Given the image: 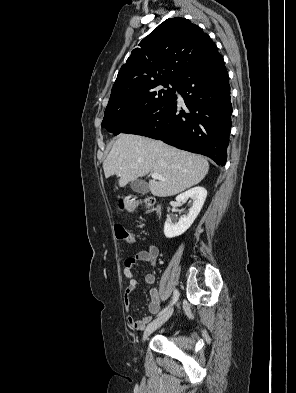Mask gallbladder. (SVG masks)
Wrapping results in <instances>:
<instances>
[{
	"label": "gallbladder",
	"instance_id": "1",
	"mask_svg": "<svg viewBox=\"0 0 296 393\" xmlns=\"http://www.w3.org/2000/svg\"><path fill=\"white\" fill-rule=\"evenodd\" d=\"M130 186L131 189L137 193L146 194L149 192L148 184L139 179L132 181Z\"/></svg>",
	"mask_w": 296,
	"mask_h": 393
}]
</instances>
